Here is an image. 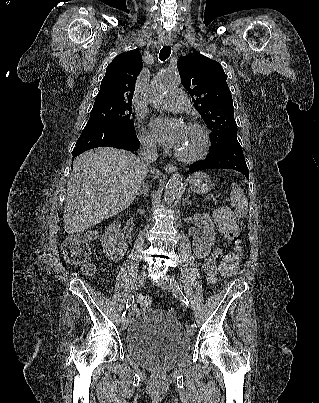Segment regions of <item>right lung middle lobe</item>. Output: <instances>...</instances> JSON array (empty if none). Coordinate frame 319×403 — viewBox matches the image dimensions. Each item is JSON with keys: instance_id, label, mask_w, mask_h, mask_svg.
Instances as JSON below:
<instances>
[{"instance_id": "dd1d6c3e", "label": "right lung middle lobe", "mask_w": 319, "mask_h": 403, "mask_svg": "<svg viewBox=\"0 0 319 403\" xmlns=\"http://www.w3.org/2000/svg\"><path fill=\"white\" fill-rule=\"evenodd\" d=\"M131 105L95 102L86 127L95 125H121L129 130H135L134 122L130 119Z\"/></svg>"}]
</instances>
